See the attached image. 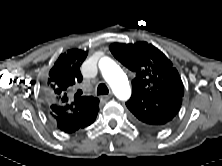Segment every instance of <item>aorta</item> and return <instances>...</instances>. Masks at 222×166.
Returning a JSON list of instances; mask_svg holds the SVG:
<instances>
[{
  "instance_id": "obj_1",
  "label": "aorta",
  "mask_w": 222,
  "mask_h": 166,
  "mask_svg": "<svg viewBox=\"0 0 222 166\" xmlns=\"http://www.w3.org/2000/svg\"><path fill=\"white\" fill-rule=\"evenodd\" d=\"M99 68L115 96L122 101L129 99L131 88L123 70L108 57H104L99 61Z\"/></svg>"
}]
</instances>
